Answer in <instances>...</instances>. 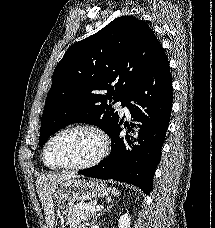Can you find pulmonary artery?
<instances>
[{"mask_svg":"<svg viewBox=\"0 0 215 228\" xmlns=\"http://www.w3.org/2000/svg\"><path fill=\"white\" fill-rule=\"evenodd\" d=\"M116 106H117V108H118V110H119L120 113H126V114H128L129 109H130V106L129 105L123 104L122 101H119V102H117Z\"/></svg>","mask_w":215,"mask_h":228,"instance_id":"1","label":"pulmonary artery"}]
</instances>
